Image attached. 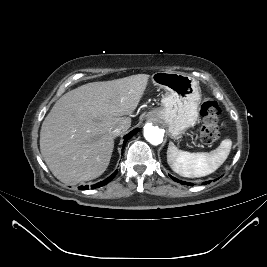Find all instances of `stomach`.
I'll list each match as a JSON object with an SVG mask.
<instances>
[{
  "instance_id": "0dacf381",
  "label": "stomach",
  "mask_w": 267,
  "mask_h": 267,
  "mask_svg": "<svg viewBox=\"0 0 267 267\" xmlns=\"http://www.w3.org/2000/svg\"><path fill=\"white\" fill-rule=\"evenodd\" d=\"M152 81L164 90V95L161 106L147 117L165 123L170 137L179 140L199 119V83L190 75L178 72H158Z\"/></svg>"
}]
</instances>
